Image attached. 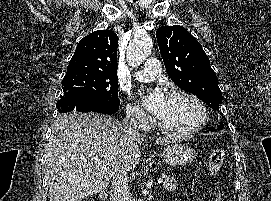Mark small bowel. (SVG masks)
<instances>
[{
    "instance_id": "obj_1",
    "label": "small bowel",
    "mask_w": 271,
    "mask_h": 201,
    "mask_svg": "<svg viewBox=\"0 0 271 201\" xmlns=\"http://www.w3.org/2000/svg\"><path fill=\"white\" fill-rule=\"evenodd\" d=\"M215 201H221V200L217 199V200H215Z\"/></svg>"
}]
</instances>
